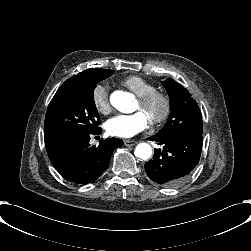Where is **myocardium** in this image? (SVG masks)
<instances>
[{"label":"myocardium","mask_w":251,"mask_h":251,"mask_svg":"<svg viewBox=\"0 0 251 251\" xmlns=\"http://www.w3.org/2000/svg\"><path fill=\"white\" fill-rule=\"evenodd\" d=\"M139 101L146 107H152L157 101L161 102L162 110L159 113H151L150 119L154 123H160L166 120L172 110V100L168 94L163 91L154 90L139 96Z\"/></svg>","instance_id":"1"}]
</instances>
